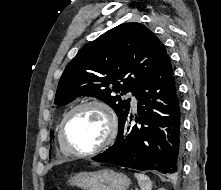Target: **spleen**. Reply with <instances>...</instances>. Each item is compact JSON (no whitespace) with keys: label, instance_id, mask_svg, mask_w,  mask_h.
Listing matches in <instances>:
<instances>
[{"label":"spleen","instance_id":"1","mask_svg":"<svg viewBox=\"0 0 221 190\" xmlns=\"http://www.w3.org/2000/svg\"><path fill=\"white\" fill-rule=\"evenodd\" d=\"M135 177L138 180L141 190H152V183L148 176L142 173H135Z\"/></svg>","mask_w":221,"mask_h":190}]
</instances>
